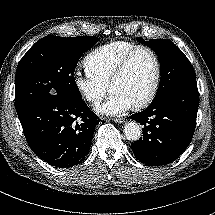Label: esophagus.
<instances>
[{"label":"esophagus","instance_id":"1","mask_svg":"<svg viewBox=\"0 0 215 215\" xmlns=\"http://www.w3.org/2000/svg\"><path fill=\"white\" fill-rule=\"evenodd\" d=\"M114 122L119 123V124L124 123L125 122V118L114 119Z\"/></svg>","mask_w":215,"mask_h":215}]
</instances>
